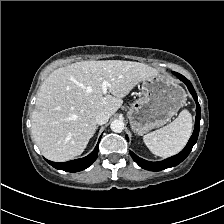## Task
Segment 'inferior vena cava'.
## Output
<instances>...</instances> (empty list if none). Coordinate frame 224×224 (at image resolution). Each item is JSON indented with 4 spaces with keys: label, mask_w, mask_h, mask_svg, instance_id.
Here are the masks:
<instances>
[{
    "label": "inferior vena cava",
    "mask_w": 224,
    "mask_h": 224,
    "mask_svg": "<svg viewBox=\"0 0 224 224\" xmlns=\"http://www.w3.org/2000/svg\"><path fill=\"white\" fill-rule=\"evenodd\" d=\"M109 118L110 114L108 112L101 111L97 113L95 120L97 124L103 125L108 122Z\"/></svg>",
    "instance_id": "1"
}]
</instances>
